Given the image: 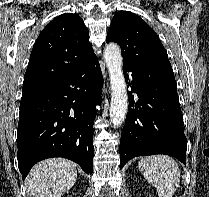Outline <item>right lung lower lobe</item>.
<instances>
[{
  "label": "right lung lower lobe",
  "mask_w": 209,
  "mask_h": 197,
  "mask_svg": "<svg viewBox=\"0 0 209 197\" xmlns=\"http://www.w3.org/2000/svg\"><path fill=\"white\" fill-rule=\"evenodd\" d=\"M103 78L97 57L67 77L22 93L17 129L18 167L27 176L43 159L63 157L93 172V123Z\"/></svg>",
  "instance_id": "1"
}]
</instances>
